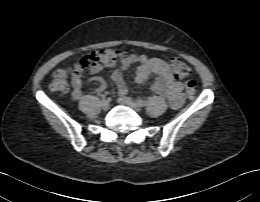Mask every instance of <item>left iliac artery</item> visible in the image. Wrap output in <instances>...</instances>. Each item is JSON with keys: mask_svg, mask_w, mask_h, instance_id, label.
I'll return each instance as SVG.
<instances>
[{"mask_svg": "<svg viewBox=\"0 0 260 202\" xmlns=\"http://www.w3.org/2000/svg\"><path fill=\"white\" fill-rule=\"evenodd\" d=\"M136 104H137L139 107L145 106V102H144L143 100H141V99H137V100H136Z\"/></svg>", "mask_w": 260, "mask_h": 202, "instance_id": "obj_1", "label": "left iliac artery"}]
</instances>
